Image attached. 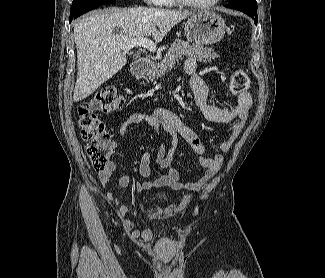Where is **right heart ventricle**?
Masks as SVG:
<instances>
[{
	"label": "right heart ventricle",
	"mask_w": 325,
	"mask_h": 278,
	"mask_svg": "<svg viewBox=\"0 0 325 278\" xmlns=\"http://www.w3.org/2000/svg\"><path fill=\"white\" fill-rule=\"evenodd\" d=\"M162 4L167 5V6H172L175 4V0H163Z\"/></svg>",
	"instance_id": "1"
}]
</instances>
